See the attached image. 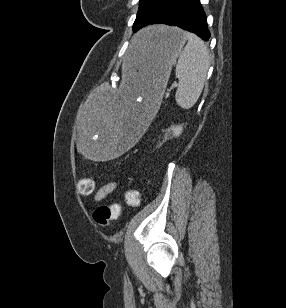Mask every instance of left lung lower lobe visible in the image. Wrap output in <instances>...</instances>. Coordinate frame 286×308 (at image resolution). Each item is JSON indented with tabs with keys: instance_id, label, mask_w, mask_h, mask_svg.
Returning <instances> with one entry per match:
<instances>
[{
	"instance_id": "obj_1",
	"label": "left lung lower lobe",
	"mask_w": 286,
	"mask_h": 308,
	"mask_svg": "<svg viewBox=\"0 0 286 308\" xmlns=\"http://www.w3.org/2000/svg\"><path fill=\"white\" fill-rule=\"evenodd\" d=\"M152 24L174 25L195 33L205 41L210 38L200 0H172Z\"/></svg>"
}]
</instances>
